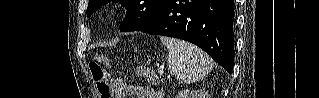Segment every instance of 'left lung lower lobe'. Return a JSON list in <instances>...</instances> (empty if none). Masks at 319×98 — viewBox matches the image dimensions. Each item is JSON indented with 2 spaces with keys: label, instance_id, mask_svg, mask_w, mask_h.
<instances>
[{
  "label": "left lung lower lobe",
  "instance_id": "0a47b994",
  "mask_svg": "<svg viewBox=\"0 0 319 98\" xmlns=\"http://www.w3.org/2000/svg\"><path fill=\"white\" fill-rule=\"evenodd\" d=\"M233 4V0H164L155 16L137 31L194 43L231 74Z\"/></svg>",
  "mask_w": 319,
  "mask_h": 98
}]
</instances>
